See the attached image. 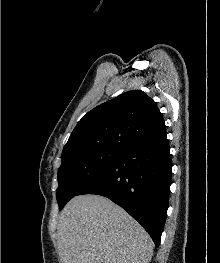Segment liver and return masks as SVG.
Masks as SVG:
<instances>
[{
	"instance_id": "6515ba94",
	"label": "liver",
	"mask_w": 220,
	"mask_h": 263,
	"mask_svg": "<svg viewBox=\"0 0 220 263\" xmlns=\"http://www.w3.org/2000/svg\"><path fill=\"white\" fill-rule=\"evenodd\" d=\"M62 263H149L153 242L125 210L99 195L71 199L59 215Z\"/></svg>"
}]
</instances>
